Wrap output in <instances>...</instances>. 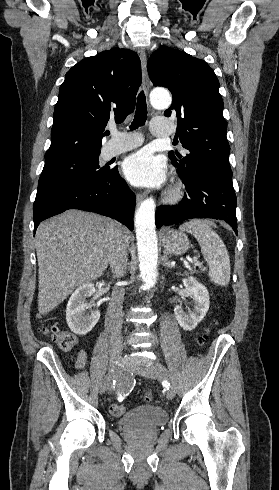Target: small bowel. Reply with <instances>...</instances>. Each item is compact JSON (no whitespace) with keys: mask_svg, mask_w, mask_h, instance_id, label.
<instances>
[{"mask_svg":"<svg viewBox=\"0 0 279 490\" xmlns=\"http://www.w3.org/2000/svg\"><path fill=\"white\" fill-rule=\"evenodd\" d=\"M71 360L77 369H84L86 367V352L80 350L77 353L72 354Z\"/></svg>","mask_w":279,"mask_h":490,"instance_id":"1","label":"small bowel"}]
</instances>
